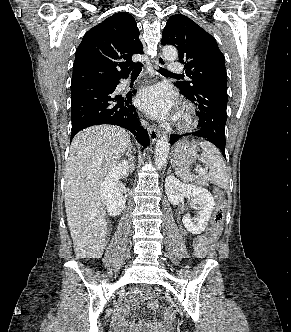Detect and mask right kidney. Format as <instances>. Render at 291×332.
I'll return each mask as SVG.
<instances>
[{
  "instance_id": "obj_1",
  "label": "right kidney",
  "mask_w": 291,
  "mask_h": 332,
  "mask_svg": "<svg viewBox=\"0 0 291 332\" xmlns=\"http://www.w3.org/2000/svg\"><path fill=\"white\" fill-rule=\"evenodd\" d=\"M127 164L125 160L118 163L101 184L102 200L111 216L120 215L125 207L126 199L120 192L118 182L121 177L126 175Z\"/></svg>"
}]
</instances>
